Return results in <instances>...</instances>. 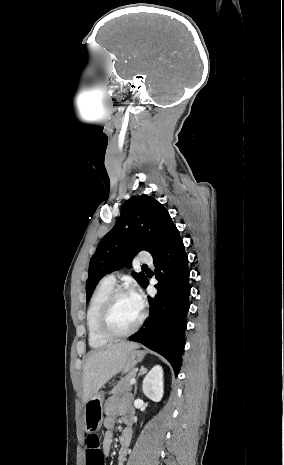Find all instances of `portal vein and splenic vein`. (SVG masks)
<instances>
[{
	"label": "portal vein and splenic vein",
	"mask_w": 284,
	"mask_h": 465,
	"mask_svg": "<svg viewBox=\"0 0 284 465\" xmlns=\"http://www.w3.org/2000/svg\"><path fill=\"white\" fill-rule=\"evenodd\" d=\"M134 383H135V379H131L130 385H134Z\"/></svg>",
	"instance_id": "18ae733b"
}]
</instances>
